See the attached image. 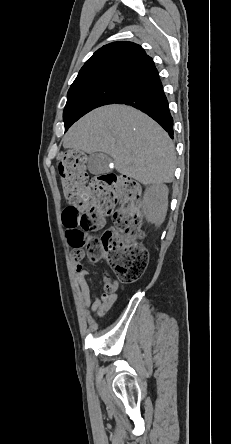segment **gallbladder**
<instances>
[{"label":"gallbladder","instance_id":"1","mask_svg":"<svg viewBox=\"0 0 231 444\" xmlns=\"http://www.w3.org/2000/svg\"><path fill=\"white\" fill-rule=\"evenodd\" d=\"M111 158L102 152H95L89 155L88 170L94 175L108 172Z\"/></svg>","mask_w":231,"mask_h":444}]
</instances>
